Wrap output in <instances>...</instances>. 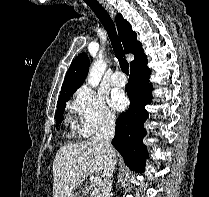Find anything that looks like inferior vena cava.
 Listing matches in <instances>:
<instances>
[{
	"label": "inferior vena cava",
	"mask_w": 209,
	"mask_h": 197,
	"mask_svg": "<svg viewBox=\"0 0 209 197\" xmlns=\"http://www.w3.org/2000/svg\"><path fill=\"white\" fill-rule=\"evenodd\" d=\"M115 134V117L112 115L105 116L101 127L96 133L97 140L101 141L106 148V164L103 170V183L100 197H110L113 171L116 165L115 150L111 141Z\"/></svg>",
	"instance_id": "inferior-vena-cava-1"
}]
</instances>
